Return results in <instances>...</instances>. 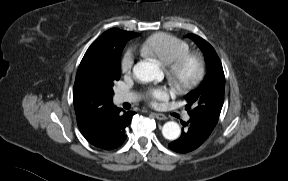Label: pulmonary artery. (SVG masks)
I'll return each mask as SVG.
<instances>
[{"instance_id":"1","label":"pulmonary artery","mask_w":288,"mask_h":181,"mask_svg":"<svg viewBox=\"0 0 288 181\" xmlns=\"http://www.w3.org/2000/svg\"><path fill=\"white\" fill-rule=\"evenodd\" d=\"M114 99H115L116 103L132 102V101H134L136 99V96L134 94H132V93H129V92L119 91V92H117L115 94ZM189 118H190L189 115H186L184 117V119L186 121H188Z\"/></svg>"}]
</instances>
